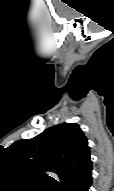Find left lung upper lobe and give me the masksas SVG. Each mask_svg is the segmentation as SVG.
<instances>
[{
    "label": "left lung upper lobe",
    "instance_id": "1",
    "mask_svg": "<svg viewBox=\"0 0 114 191\" xmlns=\"http://www.w3.org/2000/svg\"><path fill=\"white\" fill-rule=\"evenodd\" d=\"M9 153L22 165L38 173H56L62 187L67 180L90 158L87 138L76 123L52 126L32 139L15 141Z\"/></svg>",
    "mask_w": 114,
    "mask_h": 191
}]
</instances>
